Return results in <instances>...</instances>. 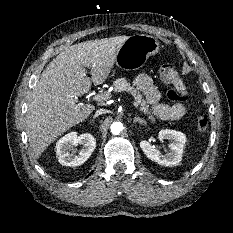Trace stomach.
I'll list each match as a JSON object with an SVG mask.
<instances>
[{"label": "stomach", "mask_w": 233, "mask_h": 233, "mask_svg": "<svg viewBox=\"0 0 233 233\" xmlns=\"http://www.w3.org/2000/svg\"><path fill=\"white\" fill-rule=\"evenodd\" d=\"M159 41L150 35L135 34L129 36L117 52L116 65L122 70L141 67L151 55L159 52Z\"/></svg>", "instance_id": "1"}]
</instances>
